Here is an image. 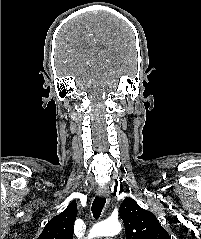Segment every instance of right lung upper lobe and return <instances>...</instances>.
I'll return each instance as SVG.
<instances>
[{
	"mask_svg": "<svg viewBox=\"0 0 201 239\" xmlns=\"http://www.w3.org/2000/svg\"><path fill=\"white\" fill-rule=\"evenodd\" d=\"M77 216V204L72 201L59 215L44 227L38 239H73V223Z\"/></svg>",
	"mask_w": 201,
	"mask_h": 239,
	"instance_id": "obj_1",
	"label": "right lung upper lobe"
}]
</instances>
